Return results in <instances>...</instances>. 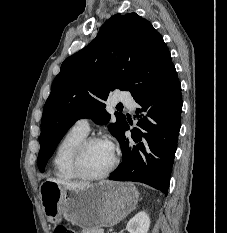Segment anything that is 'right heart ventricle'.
<instances>
[{
    "label": "right heart ventricle",
    "instance_id": "e07e8e85",
    "mask_svg": "<svg viewBox=\"0 0 227 233\" xmlns=\"http://www.w3.org/2000/svg\"><path fill=\"white\" fill-rule=\"evenodd\" d=\"M86 137V133L72 127L61 139L53 157V168L57 177L67 181L78 178L72 169L71 160L75 148Z\"/></svg>",
    "mask_w": 227,
    "mask_h": 233
}]
</instances>
